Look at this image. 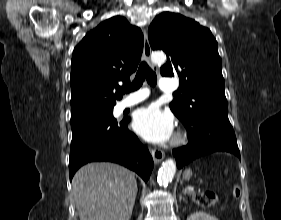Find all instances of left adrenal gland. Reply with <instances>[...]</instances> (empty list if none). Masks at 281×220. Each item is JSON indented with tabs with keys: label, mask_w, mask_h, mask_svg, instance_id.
<instances>
[{
	"label": "left adrenal gland",
	"mask_w": 281,
	"mask_h": 220,
	"mask_svg": "<svg viewBox=\"0 0 281 220\" xmlns=\"http://www.w3.org/2000/svg\"><path fill=\"white\" fill-rule=\"evenodd\" d=\"M185 192H186V191H184V193H185ZM182 199L185 200V199L182 197V195H180V196H179V200L181 201Z\"/></svg>",
	"instance_id": "left-adrenal-gland-1"
}]
</instances>
